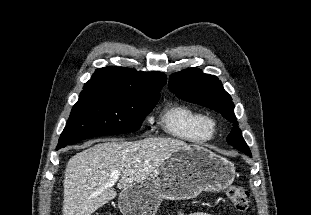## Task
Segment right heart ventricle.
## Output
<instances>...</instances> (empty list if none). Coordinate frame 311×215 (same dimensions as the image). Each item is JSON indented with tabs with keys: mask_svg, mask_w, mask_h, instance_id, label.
Wrapping results in <instances>:
<instances>
[{
	"mask_svg": "<svg viewBox=\"0 0 311 215\" xmlns=\"http://www.w3.org/2000/svg\"><path fill=\"white\" fill-rule=\"evenodd\" d=\"M207 116L190 106L174 103L161 113L159 122L170 136L192 143H204L211 139L206 125Z\"/></svg>",
	"mask_w": 311,
	"mask_h": 215,
	"instance_id": "right-heart-ventricle-1",
	"label": "right heart ventricle"
}]
</instances>
